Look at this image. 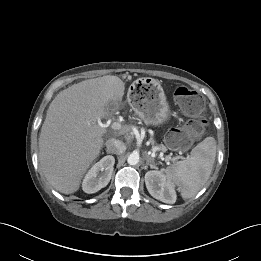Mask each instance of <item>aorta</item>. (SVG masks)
I'll return each instance as SVG.
<instances>
[{
    "label": "aorta",
    "instance_id": "1",
    "mask_svg": "<svg viewBox=\"0 0 261 261\" xmlns=\"http://www.w3.org/2000/svg\"><path fill=\"white\" fill-rule=\"evenodd\" d=\"M127 162L129 165H136L139 162V155L136 153H131L128 156Z\"/></svg>",
    "mask_w": 261,
    "mask_h": 261
}]
</instances>
